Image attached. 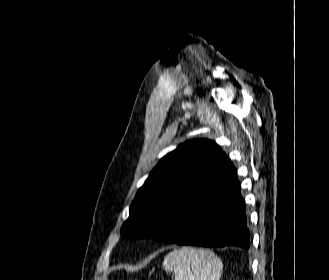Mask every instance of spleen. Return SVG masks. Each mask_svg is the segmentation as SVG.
I'll return each mask as SVG.
<instances>
[{"instance_id": "obj_1", "label": "spleen", "mask_w": 329, "mask_h": 280, "mask_svg": "<svg viewBox=\"0 0 329 280\" xmlns=\"http://www.w3.org/2000/svg\"><path fill=\"white\" fill-rule=\"evenodd\" d=\"M162 266L173 273L174 280H219L223 273V263L217 255L193 247L171 251Z\"/></svg>"}]
</instances>
